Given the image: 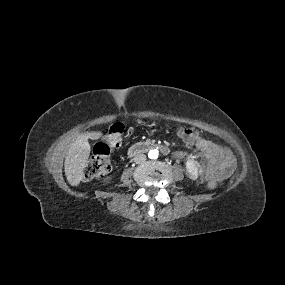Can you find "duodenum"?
<instances>
[{
    "mask_svg": "<svg viewBox=\"0 0 285 285\" xmlns=\"http://www.w3.org/2000/svg\"><path fill=\"white\" fill-rule=\"evenodd\" d=\"M149 149H158L163 154H168V148L167 146L163 144L158 143H152V142H139L134 145H132L128 150L129 156H134L138 153L144 152Z\"/></svg>",
    "mask_w": 285,
    "mask_h": 285,
    "instance_id": "obj_1",
    "label": "duodenum"
}]
</instances>
